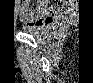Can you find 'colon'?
<instances>
[{
	"label": "colon",
	"instance_id": "colon-1",
	"mask_svg": "<svg viewBox=\"0 0 93 83\" xmlns=\"http://www.w3.org/2000/svg\"><path fill=\"white\" fill-rule=\"evenodd\" d=\"M56 3L52 7H36L35 4H41L42 1H26L30 4L31 8L24 10L29 16L28 21L36 22L39 24H47L50 21H54L61 13L66 11L67 6L70 5L71 1H50Z\"/></svg>",
	"mask_w": 93,
	"mask_h": 83
}]
</instances>
